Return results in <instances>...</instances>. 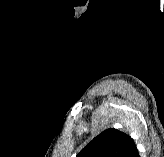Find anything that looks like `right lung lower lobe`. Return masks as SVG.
I'll return each mask as SVG.
<instances>
[{
	"label": "right lung lower lobe",
	"mask_w": 164,
	"mask_h": 157,
	"mask_svg": "<svg viewBox=\"0 0 164 157\" xmlns=\"http://www.w3.org/2000/svg\"><path fill=\"white\" fill-rule=\"evenodd\" d=\"M131 157H140L137 148H136V150L133 152V154L131 155Z\"/></svg>",
	"instance_id": "1"
}]
</instances>
